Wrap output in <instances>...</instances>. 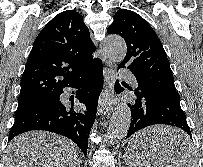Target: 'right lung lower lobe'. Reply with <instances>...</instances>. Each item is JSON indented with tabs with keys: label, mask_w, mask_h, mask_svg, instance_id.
Instances as JSON below:
<instances>
[{
	"label": "right lung lower lobe",
	"mask_w": 203,
	"mask_h": 167,
	"mask_svg": "<svg viewBox=\"0 0 203 167\" xmlns=\"http://www.w3.org/2000/svg\"><path fill=\"white\" fill-rule=\"evenodd\" d=\"M77 88L76 98L86 105L84 112H75L74 101L60 100L64 87ZM56 95L55 101L15 116V122L9 133V139L31 131L45 130L66 136L73 140L84 155L87 154L88 137L95 121L99 95L103 88V67L99 59L90 68L73 77Z\"/></svg>",
	"instance_id": "98d812e1"
}]
</instances>
